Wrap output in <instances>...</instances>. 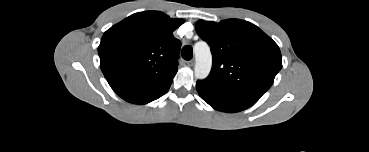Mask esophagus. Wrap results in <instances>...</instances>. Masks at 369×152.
<instances>
[{"label": "esophagus", "mask_w": 369, "mask_h": 152, "mask_svg": "<svg viewBox=\"0 0 369 152\" xmlns=\"http://www.w3.org/2000/svg\"><path fill=\"white\" fill-rule=\"evenodd\" d=\"M194 64H195V60L194 59H192V60H190V61L187 62V65L190 66V67L194 66Z\"/></svg>", "instance_id": "obj_1"}]
</instances>
